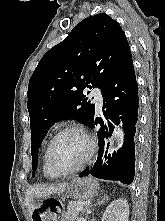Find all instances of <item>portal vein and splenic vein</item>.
<instances>
[{
  "label": "portal vein and splenic vein",
  "mask_w": 165,
  "mask_h": 221,
  "mask_svg": "<svg viewBox=\"0 0 165 221\" xmlns=\"http://www.w3.org/2000/svg\"><path fill=\"white\" fill-rule=\"evenodd\" d=\"M75 209H76L77 211H81V210L83 209V206H82V205H77V206L75 207Z\"/></svg>",
  "instance_id": "1"
}]
</instances>
